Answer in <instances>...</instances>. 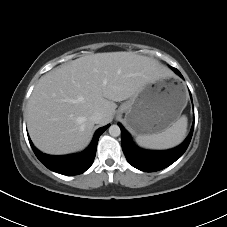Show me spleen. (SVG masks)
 <instances>
[{"label": "spleen", "mask_w": 227, "mask_h": 227, "mask_svg": "<svg viewBox=\"0 0 227 227\" xmlns=\"http://www.w3.org/2000/svg\"><path fill=\"white\" fill-rule=\"evenodd\" d=\"M187 131V117L183 115L171 127L161 133L138 135L137 143L150 149H169L179 145L185 138Z\"/></svg>", "instance_id": "obj_1"}]
</instances>
